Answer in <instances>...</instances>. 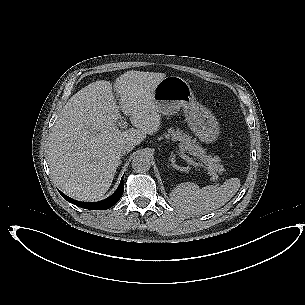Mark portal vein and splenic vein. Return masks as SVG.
<instances>
[{
    "mask_svg": "<svg viewBox=\"0 0 305 305\" xmlns=\"http://www.w3.org/2000/svg\"><path fill=\"white\" fill-rule=\"evenodd\" d=\"M118 126H119L120 128H124V127L127 126V122L124 121V120H121V121L118 123ZM181 153H182V152H181ZM181 157H182V158H185L186 155L182 153V154H181Z\"/></svg>",
    "mask_w": 305,
    "mask_h": 305,
    "instance_id": "1",
    "label": "portal vein and splenic vein"
}]
</instances>
